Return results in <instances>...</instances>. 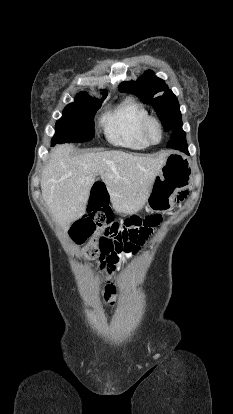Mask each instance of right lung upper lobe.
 <instances>
[{
    "mask_svg": "<svg viewBox=\"0 0 233 414\" xmlns=\"http://www.w3.org/2000/svg\"><path fill=\"white\" fill-rule=\"evenodd\" d=\"M81 95H86V96H88L86 93H80ZM107 91L105 90L104 91V98L107 96ZM88 97H90V96H88ZM96 101H102V100H96Z\"/></svg>",
    "mask_w": 233,
    "mask_h": 414,
    "instance_id": "1",
    "label": "right lung upper lobe"
}]
</instances>
